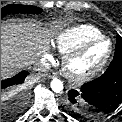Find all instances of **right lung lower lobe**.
<instances>
[{
  "instance_id": "98d812e1",
  "label": "right lung lower lobe",
  "mask_w": 122,
  "mask_h": 122,
  "mask_svg": "<svg viewBox=\"0 0 122 122\" xmlns=\"http://www.w3.org/2000/svg\"><path fill=\"white\" fill-rule=\"evenodd\" d=\"M27 75H29L28 72L24 71V72H20L19 74L15 75L14 77L5 80V81H1V90L5 89L9 86L12 85H17V84H22L25 80V78L27 77ZM25 94L24 93H20L18 99L16 100V104L14 105V110L12 113H9L11 116H15L18 110H20L22 108L23 105V101H24V97Z\"/></svg>"
}]
</instances>
